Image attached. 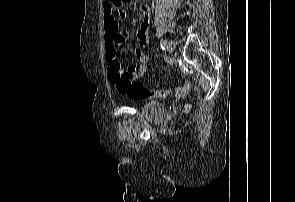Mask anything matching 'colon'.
<instances>
[{"label": "colon", "mask_w": 295, "mask_h": 202, "mask_svg": "<svg viewBox=\"0 0 295 202\" xmlns=\"http://www.w3.org/2000/svg\"><path fill=\"white\" fill-rule=\"evenodd\" d=\"M115 4L120 0H112ZM129 1V0H124ZM117 80L116 87L118 91L130 99L142 100L148 98H163L172 93L171 89L150 90L143 87L140 83L134 81L132 73L128 67H119L116 70Z\"/></svg>", "instance_id": "1"}]
</instances>
